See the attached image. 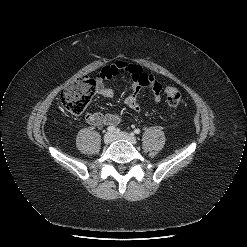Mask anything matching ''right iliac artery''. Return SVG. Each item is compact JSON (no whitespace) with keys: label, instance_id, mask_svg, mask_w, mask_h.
<instances>
[{"label":"right iliac artery","instance_id":"obj_1","mask_svg":"<svg viewBox=\"0 0 247 247\" xmlns=\"http://www.w3.org/2000/svg\"><path fill=\"white\" fill-rule=\"evenodd\" d=\"M107 131L108 132H116V133H118L120 130L119 129H116L114 126H109L107 128Z\"/></svg>","mask_w":247,"mask_h":247}]
</instances>
